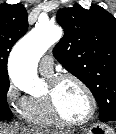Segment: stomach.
I'll use <instances>...</instances> for the list:
<instances>
[{"mask_svg": "<svg viewBox=\"0 0 116 134\" xmlns=\"http://www.w3.org/2000/svg\"><path fill=\"white\" fill-rule=\"evenodd\" d=\"M64 134H73V132H66ZM85 134H115L114 131L104 124H94L85 130Z\"/></svg>", "mask_w": 116, "mask_h": 134, "instance_id": "stomach-1", "label": "stomach"}]
</instances>
